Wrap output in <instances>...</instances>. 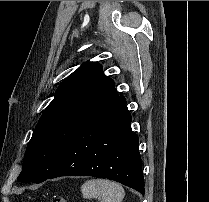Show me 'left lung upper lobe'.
<instances>
[{
	"label": "left lung upper lobe",
	"instance_id": "obj_1",
	"mask_svg": "<svg viewBox=\"0 0 209 202\" xmlns=\"http://www.w3.org/2000/svg\"><path fill=\"white\" fill-rule=\"evenodd\" d=\"M114 87V81L104 75L97 62L84 63L69 75L34 129L18 180H47L82 124L119 96Z\"/></svg>",
	"mask_w": 209,
	"mask_h": 202
}]
</instances>
